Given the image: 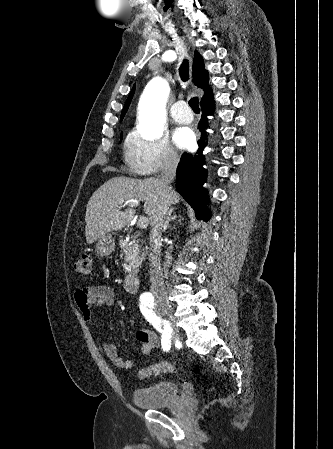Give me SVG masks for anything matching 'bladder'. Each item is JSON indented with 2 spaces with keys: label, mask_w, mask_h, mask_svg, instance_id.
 I'll list each match as a JSON object with an SVG mask.
<instances>
[{
  "label": "bladder",
  "mask_w": 333,
  "mask_h": 449,
  "mask_svg": "<svg viewBox=\"0 0 333 449\" xmlns=\"http://www.w3.org/2000/svg\"><path fill=\"white\" fill-rule=\"evenodd\" d=\"M181 396V389L173 381H161L137 387L133 392L134 404L142 409H160L173 406Z\"/></svg>",
  "instance_id": "bladder-1"
}]
</instances>
